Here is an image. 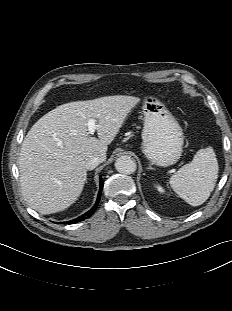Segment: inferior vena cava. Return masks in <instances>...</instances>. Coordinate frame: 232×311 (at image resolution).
I'll list each match as a JSON object with an SVG mask.
<instances>
[{
    "instance_id": "obj_1",
    "label": "inferior vena cava",
    "mask_w": 232,
    "mask_h": 311,
    "mask_svg": "<svg viewBox=\"0 0 232 311\" xmlns=\"http://www.w3.org/2000/svg\"><path fill=\"white\" fill-rule=\"evenodd\" d=\"M104 159L100 156H93L89 160L86 161L85 167L88 170H93L96 168L100 163H102Z\"/></svg>"
}]
</instances>
